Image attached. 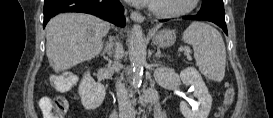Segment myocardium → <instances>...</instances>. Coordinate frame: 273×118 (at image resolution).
Instances as JSON below:
<instances>
[{
	"instance_id": "myocardium-1",
	"label": "myocardium",
	"mask_w": 273,
	"mask_h": 118,
	"mask_svg": "<svg viewBox=\"0 0 273 118\" xmlns=\"http://www.w3.org/2000/svg\"><path fill=\"white\" fill-rule=\"evenodd\" d=\"M198 0H189L188 4L178 10H159L154 4L150 5L149 10L152 14L162 18H174L190 13L196 7Z\"/></svg>"
}]
</instances>
